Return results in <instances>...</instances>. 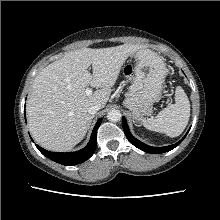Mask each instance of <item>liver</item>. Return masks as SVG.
<instances>
[{
	"mask_svg": "<svg viewBox=\"0 0 220 220\" xmlns=\"http://www.w3.org/2000/svg\"><path fill=\"white\" fill-rule=\"evenodd\" d=\"M141 45L91 49L67 53L35 77L27 100L28 126L34 140L52 151H67L86 135L94 104L104 108L126 59ZM92 65L93 73L88 71ZM87 86L97 90L87 96ZM100 88V89H98Z\"/></svg>",
	"mask_w": 220,
	"mask_h": 220,
	"instance_id": "liver-1",
	"label": "liver"
}]
</instances>
